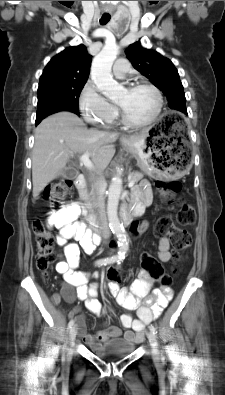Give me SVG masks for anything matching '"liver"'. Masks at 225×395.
Wrapping results in <instances>:
<instances>
[{
	"mask_svg": "<svg viewBox=\"0 0 225 395\" xmlns=\"http://www.w3.org/2000/svg\"><path fill=\"white\" fill-rule=\"evenodd\" d=\"M117 132L88 130L77 115L59 112L51 115L35 129L32 152L33 198L65 169L69 158L77 153H89L96 171L104 170L115 154L112 145Z\"/></svg>",
	"mask_w": 225,
	"mask_h": 395,
	"instance_id": "obj_1",
	"label": "liver"
}]
</instances>
